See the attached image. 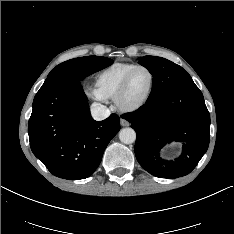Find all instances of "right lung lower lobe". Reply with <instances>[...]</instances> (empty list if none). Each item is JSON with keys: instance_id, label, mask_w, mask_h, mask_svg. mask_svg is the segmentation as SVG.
Instances as JSON below:
<instances>
[{"instance_id": "right-lung-lower-lobe-1", "label": "right lung lower lobe", "mask_w": 234, "mask_h": 234, "mask_svg": "<svg viewBox=\"0 0 234 234\" xmlns=\"http://www.w3.org/2000/svg\"><path fill=\"white\" fill-rule=\"evenodd\" d=\"M119 130L116 114L93 120L80 81L71 72L47 77L34 98L28 123L34 155L53 175L70 180L94 173Z\"/></svg>"}]
</instances>
